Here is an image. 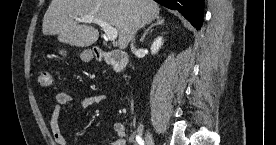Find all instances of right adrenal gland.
Instances as JSON below:
<instances>
[{
  "label": "right adrenal gland",
  "mask_w": 276,
  "mask_h": 145,
  "mask_svg": "<svg viewBox=\"0 0 276 145\" xmlns=\"http://www.w3.org/2000/svg\"><path fill=\"white\" fill-rule=\"evenodd\" d=\"M164 23V19H161V18H157L156 19V22L152 25H150V27H148V29H146V31L144 32L143 36L141 37L140 41H144L146 35L148 34V32L154 27V26H157V25H162Z\"/></svg>",
  "instance_id": "obj_1"
}]
</instances>
